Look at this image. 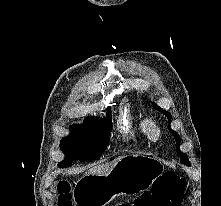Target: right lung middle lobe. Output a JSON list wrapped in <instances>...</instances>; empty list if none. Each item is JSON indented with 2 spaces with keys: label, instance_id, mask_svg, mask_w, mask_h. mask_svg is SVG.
Instances as JSON below:
<instances>
[{
  "label": "right lung middle lobe",
  "instance_id": "1",
  "mask_svg": "<svg viewBox=\"0 0 221 206\" xmlns=\"http://www.w3.org/2000/svg\"><path fill=\"white\" fill-rule=\"evenodd\" d=\"M111 117V114L107 113V117L101 121L92 117L87 118L83 125H72L70 135L60 142V148L66 157L58 167L71 166L74 160L86 161L100 157L109 143Z\"/></svg>",
  "mask_w": 221,
  "mask_h": 206
}]
</instances>
